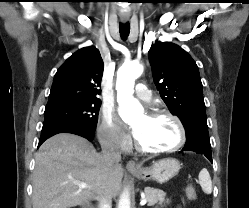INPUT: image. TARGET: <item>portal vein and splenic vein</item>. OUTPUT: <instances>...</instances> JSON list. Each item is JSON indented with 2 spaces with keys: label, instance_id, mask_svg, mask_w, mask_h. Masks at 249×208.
<instances>
[{
  "label": "portal vein and splenic vein",
  "instance_id": "obj_1",
  "mask_svg": "<svg viewBox=\"0 0 249 208\" xmlns=\"http://www.w3.org/2000/svg\"><path fill=\"white\" fill-rule=\"evenodd\" d=\"M75 184H77L80 188H88V185L84 182H78V181H75L74 182ZM147 203V199L146 198H143L141 201H140V205H145Z\"/></svg>",
  "mask_w": 249,
  "mask_h": 208
}]
</instances>
